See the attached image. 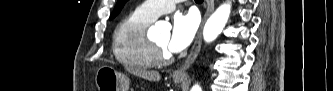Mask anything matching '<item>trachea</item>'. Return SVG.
I'll use <instances>...</instances> for the list:
<instances>
[{"mask_svg": "<svg viewBox=\"0 0 333 91\" xmlns=\"http://www.w3.org/2000/svg\"><path fill=\"white\" fill-rule=\"evenodd\" d=\"M196 2H198V3H202V2H203V0H196Z\"/></svg>", "mask_w": 333, "mask_h": 91, "instance_id": "3493384b", "label": "trachea"}]
</instances>
